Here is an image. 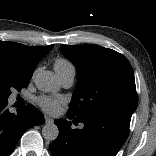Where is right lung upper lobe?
Listing matches in <instances>:
<instances>
[{
  "label": "right lung upper lobe",
  "instance_id": "cb5924a9",
  "mask_svg": "<svg viewBox=\"0 0 156 156\" xmlns=\"http://www.w3.org/2000/svg\"><path fill=\"white\" fill-rule=\"evenodd\" d=\"M52 48L53 45L30 47L15 42L0 41V67L31 79L34 68Z\"/></svg>",
  "mask_w": 156,
  "mask_h": 156
}]
</instances>
